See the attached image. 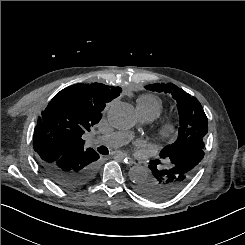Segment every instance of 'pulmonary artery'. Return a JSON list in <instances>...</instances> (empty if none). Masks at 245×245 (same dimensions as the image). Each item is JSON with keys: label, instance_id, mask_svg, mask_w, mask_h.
<instances>
[{"label": "pulmonary artery", "instance_id": "pulmonary-artery-1", "mask_svg": "<svg viewBox=\"0 0 245 245\" xmlns=\"http://www.w3.org/2000/svg\"><path fill=\"white\" fill-rule=\"evenodd\" d=\"M138 114L142 121L144 122H151L155 119V117L151 114L141 112L139 110ZM131 138V134L127 131H117L107 135H104L99 138V142L103 143L108 147H118L121 146L129 141Z\"/></svg>", "mask_w": 245, "mask_h": 245}]
</instances>
